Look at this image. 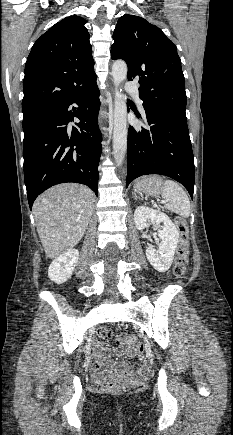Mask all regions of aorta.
<instances>
[{
	"label": "aorta",
	"mask_w": 233,
	"mask_h": 435,
	"mask_svg": "<svg viewBox=\"0 0 233 435\" xmlns=\"http://www.w3.org/2000/svg\"><path fill=\"white\" fill-rule=\"evenodd\" d=\"M127 65L117 60L112 66V77L115 86L113 155L117 165L122 164L127 150V105L121 93L120 84L127 77Z\"/></svg>",
	"instance_id": "aorta-1"
}]
</instances>
